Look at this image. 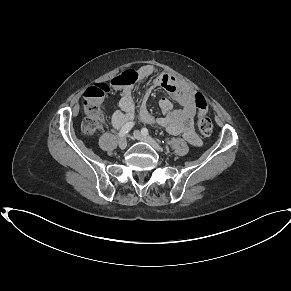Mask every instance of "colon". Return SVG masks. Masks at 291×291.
Returning <instances> with one entry per match:
<instances>
[{"mask_svg": "<svg viewBox=\"0 0 291 291\" xmlns=\"http://www.w3.org/2000/svg\"><path fill=\"white\" fill-rule=\"evenodd\" d=\"M135 80L133 75L121 79H115L113 85L120 87L131 84ZM107 84L101 83L88 88L84 94L85 118L82 122V129L86 134L98 132L102 127L103 114L101 105L104 96L109 92ZM197 109V127L202 135L208 136L212 133L213 124L208 115L209 103L201 93H195L193 97Z\"/></svg>", "mask_w": 291, "mask_h": 291, "instance_id": "obj_1", "label": "colon"}]
</instances>
